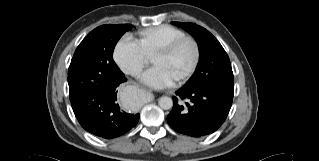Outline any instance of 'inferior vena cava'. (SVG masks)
<instances>
[{
	"mask_svg": "<svg viewBox=\"0 0 319 161\" xmlns=\"http://www.w3.org/2000/svg\"><path fill=\"white\" fill-rule=\"evenodd\" d=\"M139 74H140V70H138V69H135V70L132 71V75L137 76Z\"/></svg>",
	"mask_w": 319,
	"mask_h": 161,
	"instance_id": "1",
	"label": "inferior vena cava"
}]
</instances>
